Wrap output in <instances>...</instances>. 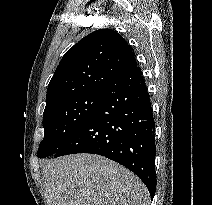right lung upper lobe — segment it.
I'll list each match as a JSON object with an SVG mask.
<instances>
[{"label": "right lung upper lobe", "instance_id": "right-lung-upper-lobe-1", "mask_svg": "<svg viewBox=\"0 0 212 205\" xmlns=\"http://www.w3.org/2000/svg\"><path fill=\"white\" fill-rule=\"evenodd\" d=\"M137 65L125 39L111 29L90 33L63 56L47 89L44 112L69 99L102 92Z\"/></svg>", "mask_w": 212, "mask_h": 205}]
</instances>
